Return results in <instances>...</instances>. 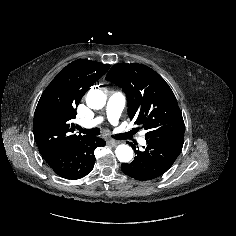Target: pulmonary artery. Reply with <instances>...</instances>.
<instances>
[{
  "instance_id": "e3ab8cb5",
  "label": "pulmonary artery",
  "mask_w": 236,
  "mask_h": 236,
  "mask_svg": "<svg viewBox=\"0 0 236 236\" xmlns=\"http://www.w3.org/2000/svg\"><path fill=\"white\" fill-rule=\"evenodd\" d=\"M125 104V97L121 92H113L107 103V108H106V116L107 119L112 123V124H117L121 115V112L124 108ZM103 118L102 117H96L90 122H87L85 124L86 127H92L97 124H100L102 122ZM139 143L141 145L146 144V140L143 137L139 138Z\"/></svg>"
}]
</instances>
